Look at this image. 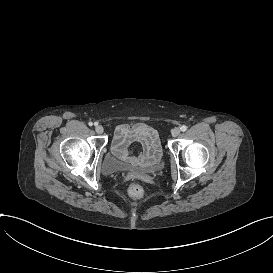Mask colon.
<instances>
[{
  "instance_id": "1",
  "label": "colon",
  "mask_w": 273,
  "mask_h": 273,
  "mask_svg": "<svg viewBox=\"0 0 273 273\" xmlns=\"http://www.w3.org/2000/svg\"><path fill=\"white\" fill-rule=\"evenodd\" d=\"M127 196L130 201L134 203H139L146 199L147 194L143 185L139 183H134L129 186L127 190Z\"/></svg>"
}]
</instances>
